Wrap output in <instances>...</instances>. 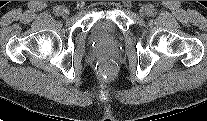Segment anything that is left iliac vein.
<instances>
[{
  "instance_id": "1",
  "label": "left iliac vein",
  "mask_w": 207,
  "mask_h": 121,
  "mask_svg": "<svg viewBox=\"0 0 207 121\" xmlns=\"http://www.w3.org/2000/svg\"><path fill=\"white\" fill-rule=\"evenodd\" d=\"M139 12H140V15L142 17H145V16H148L149 15V9L146 6L141 7V9H140Z\"/></svg>"
}]
</instances>
